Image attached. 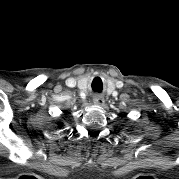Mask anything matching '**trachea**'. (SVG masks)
I'll use <instances>...</instances> for the list:
<instances>
[{
    "mask_svg": "<svg viewBox=\"0 0 179 179\" xmlns=\"http://www.w3.org/2000/svg\"><path fill=\"white\" fill-rule=\"evenodd\" d=\"M97 80H98V78H96V79L93 81V83H94L95 81H97ZM93 90L96 91V92H101V91H102V87L100 86V87H98V88H96V89L93 87Z\"/></svg>",
    "mask_w": 179,
    "mask_h": 179,
    "instance_id": "trachea-1",
    "label": "trachea"
}]
</instances>
